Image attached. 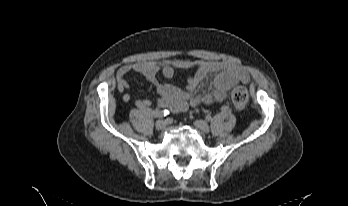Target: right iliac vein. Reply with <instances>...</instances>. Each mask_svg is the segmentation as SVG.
<instances>
[{
    "label": "right iliac vein",
    "instance_id": "1",
    "mask_svg": "<svg viewBox=\"0 0 348 206\" xmlns=\"http://www.w3.org/2000/svg\"><path fill=\"white\" fill-rule=\"evenodd\" d=\"M165 126H166V123H165V121H163V120H158V121H156V123H155V127H156V129H158V130H163V129L165 128Z\"/></svg>",
    "mask_w": 348,
    "mask_h": 206
}]
</instances>
